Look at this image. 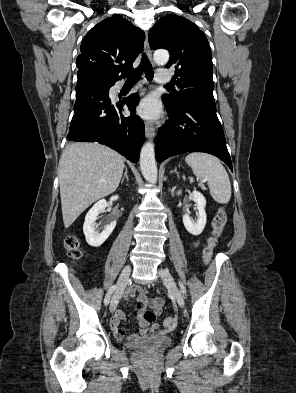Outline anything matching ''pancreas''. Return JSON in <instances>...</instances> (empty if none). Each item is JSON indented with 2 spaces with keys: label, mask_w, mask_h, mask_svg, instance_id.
I'll list each match as a JSON object with an SVG mask.
<instances>
[{
  "label": "pancreas",
  "mask_w": 296,
  "mask_h": 393,
  "mask_svg": "<svg viewBox=\"0 0 296 393\" xmlns=\"http://www.w3.org/2000/svg\"><path fill=\"white\" fill-rule=\"evenodd\" d=\"M199 186H200L201 188L205 189V187H204L202 184H199Z\"/></svg>",
  "instance_id": "pancreas-1"
}]
</instances>
